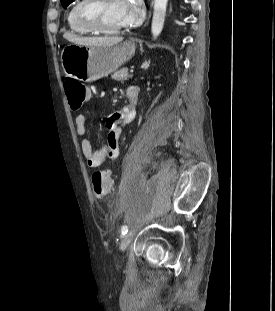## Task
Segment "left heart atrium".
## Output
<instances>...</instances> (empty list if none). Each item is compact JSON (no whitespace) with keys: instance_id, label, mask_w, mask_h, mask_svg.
<instances>
[{"instance_id":"obj_1","label":"left heart atrium","mask_w":275,"mask_h":311,"mask_svg":"<svg viewBox=\"0 0 275 311\" xmlns=\"http://www.w3.org/2000/svg\"><path fill=\"white\" fill-rule=\"evenodd\" d=\"M124 3V25H134L138 23L143 14L141 0H123Z\"/></svg>"}]
</instances>
